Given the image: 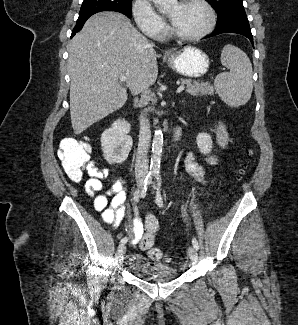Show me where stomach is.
Wrapping results in <instances>:
<instances>
[{
  "label": "stomach",
  "instance_id": "0dacf381",
  "mask_svg": "<svg viewBox=\"0 0 298 325\" xmlns=\"http://www.w3.org/2000/svg\"><path fill=\"white\" fill-rule=\"evenodd\" d=\"M165 58L174 72L188 76V78H199L210 68V58L207 52L198 46H183Z\"/></svg>",
  "mask_w": 298,
  "mask_h": 325
}]
</instances>
